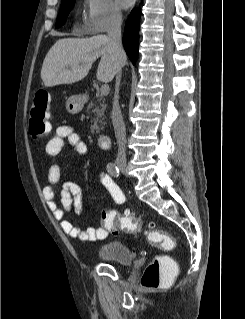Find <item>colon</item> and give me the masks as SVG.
Instances as JSON below:
<instances>
[{
    "label": "colon",
    "instance_id": "obj_1",
    "mask_svg": "<svg viewBox=\"0 0 245 319\" xmlns=\"http://www.w3.org/2000/svg\"><path fill=\"white\" fill-rule=\"evenodd\" d=\"M49 107V94L46 91L37 92L30 109L29 125L32 138L40 139L47 134ZM102 223L112 233L118 231L134 233L142 225L141 220L135 219L130 214H119L113 210L103 212ZM148 239L166 251L174 249L176 244L173 237L167 235L152 222L148 223ZM176 271V264L171 263L167 256L158 255L146 267L141 284L148 290L158 289L166 285Z\"/></svg>",
    "mask_w": 245,
    "mask_h": 319
}]
</instances>
